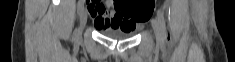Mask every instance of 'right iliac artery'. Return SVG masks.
I'll return each mask as SVG.
<instances>
[{
	"instance_id": "82829eb1",
	"label": "right iliac artery",
	"mask_w": 235,
	"mask_h": 62,
	"mask_svg": "<svg viewBox=\"0 0 235 62\" xmlns=\"http://www.w3.org/2000/svg\"><path fill=\"white\" fill-rule=\"evenodd\" d=\"M83 9H84V3H83V1H79L78 2V6H77V11H78V14H81V12L83 11ZM75 33H76V31H75ZM74 33V34H75Z\"/></svg>"
}]
</instances>
